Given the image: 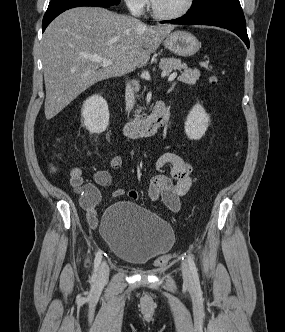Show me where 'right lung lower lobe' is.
Wrapping results in <instances>:
<instances>
[{
    "label": "right lung lower lobe",
    "mask_w": 285,
    "mask_h": 332,
    "mask_svg": "<svg viewBox=\"0 0 285 332\" xmlns=\"http://www.w3.org/2000/svg\"><path fill=\"white\" fill-rule=\"evenodd\" d=\"M79 6L110 7L113 5L105 4L94 0H64L52 2L49 4L48 9L44 15L42 22V32H44L50 22L55 19L59 14H61L65 10Z\"/></svg>",
    "instance_id": "obj_1"
}]
</instances>
